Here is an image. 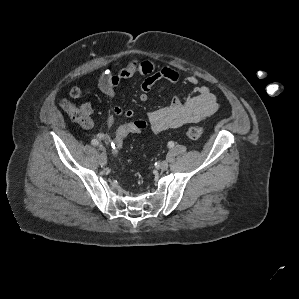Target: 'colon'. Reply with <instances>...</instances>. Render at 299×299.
<instances>
[{
	"label": "colon",
	"mask_w": 299,
	"mask_h": 299,
	"mask_svg": "<svg viewBox=\"0 0 299 299\" xmlns=\"http://www.w3.org/2000/svg\"><path fill=\"white\" fill-rule=\"evenodd\" d=\"M61 108L78 124L84 127H89L92 124L90 114L83 105L78 106L69 100H63L61 102ZM143 130L144 126L134 120H127L119 124L115 128L111 139L113 153H118L130 136L137 135ZM204 131L203 127L192 126L186 130V136L192 140H197L204 135Z\"/></svg>",
	"instance_id": "5ec220e1"
}]
</instances>
